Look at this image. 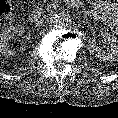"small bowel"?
<instances>
[{
    "mask_svg": "<svg viewBox=\"0 0 118 118\" xmlns=\"http://www.w3.org/2000/svg\"><path fill=\"white\" fill-rule=\"evenodd\" d=\"M113 21H112V29L115 33L118 34V17L112 13Z\"/></svg>",
    "mask_w": 118,
    "mask_h": 118,
    "instance_id": "small-bowel-1",
    "label": "small bowel"
}]
</instances>
